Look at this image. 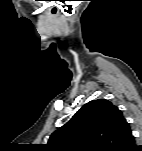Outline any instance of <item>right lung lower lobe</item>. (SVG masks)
I'll return each instance as SVG.
<instances>
[{"mask_svg": "<svg viewBox=\"0 0 142 151\" xmlns=\"http://www.w3.org/2000/svg\"><path fill=\"white\" fill-rule=\"evenodd\" d=\"M134 150H141L142 151V147H138L134 145V142L131 144V146L128 149H125L124 151H134Z\"/></svg>", "mask_w": 142, "mask_h": 151, "instance_id": "98d812e1", "label": "right lung lower lobe"}]
</instances>
